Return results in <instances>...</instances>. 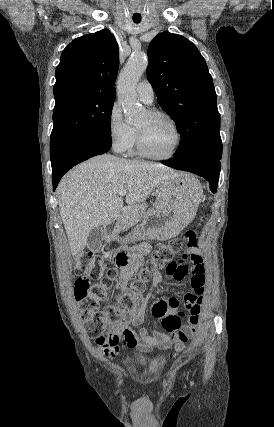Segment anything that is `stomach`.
<instances>
[{
    "label": "stomach",
    "instance_id": "obj_1",
    "mask_svg": "<svg viewBox=\"0 0 274 427\" xmlns=\"http://www.w3.org/2000/svg\"><path fill=\"white\" fill-rule=\"evenodd\" d=\"M194 178L188 174H180L175 180H164L158 186L157 200L153 210L144 215L142 223L126 235L118 237V231L106 235L108 241L119 239L121 243H129L134 239H171L186 227L196 214L199 206L197 194L201 188L191 186Z\"/></svg>",
    "mask_w": 274,
    "mask_h": 427
}]
</instances>
